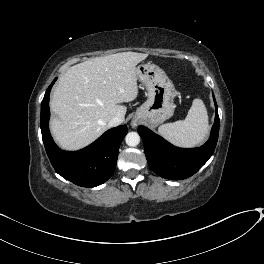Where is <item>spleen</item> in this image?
<instances>
[{"label": "spleen", "instance_id": "spleen-1", "mask_svg": "<svg viewBox=\"0 0 264 264\" xmlns=\"http://www.w3.org/2000/svg\"><path fill=\"white\" fill-rule=\"evenodd\" d=\"M208 130L207 109L200 98L193 100L185 120L164 124L158 128L161 136L179 147H194L201 144Z\"/></svg>", "mask_w": 264, "mask_h": 264}]
</instances>
